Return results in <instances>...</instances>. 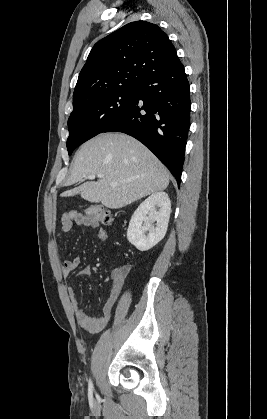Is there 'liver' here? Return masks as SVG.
Returning <instances> with one entry per match:
<instances>
[{"mask_svg": "<svg viewBox=\"0 0 267 419\" xmlns=\"http://www.w3.org/2000/svg\"><path fill=\"white\" fill-rule=\"evenodd\" d=\"M98 174L104 176L61 196L80 194L91 203L118 209L165 190L169 184V172L154 154L135 138L122 133L100 134L84 143L75 155L66 185ZM112 182L118 185L113 187Z\"/></svg>", "mask_w": 267, "mask_h": 419, "instance_id": "6515ba94", "label": "liver"}]
</instances>
